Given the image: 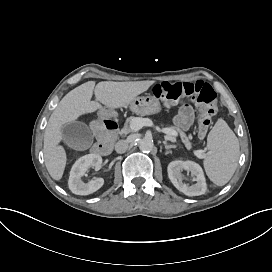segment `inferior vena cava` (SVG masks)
<instances>
[{"mask_svg": "<svg viewBox=\"0 0 272 272\" xmlns=\"http://www.w3.org/2000/svg\"><path fill=\"white\" fill-rule=\"evenodd\" d=\"M128 149V143L125 140H120L115 145V151L119 154L124 153Z\"/></svg>", "mask_w": 272, "mask_h": 272, "instance_id": "inferior-vena-cava-1", "label": "inferior vena cava"}]
</instances>
